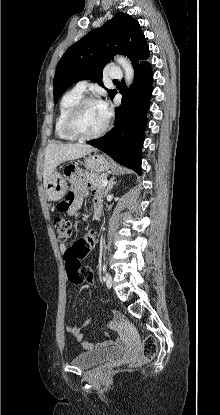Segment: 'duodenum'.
<instances>
[{"label":"duodenum","instance_id":"1","mask_svg":"<svg viewBox=\"0 0 220 415\" xmlns=\"http://www.w3.org/2000/svg\"><path fill=\"white\" fill-rule=\"evenodd\" d=\"M101 216V212L97 214V219H99Z\"/></svg>","mask_w":220,"mask_h":415}]
</instances>
